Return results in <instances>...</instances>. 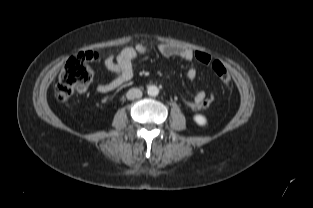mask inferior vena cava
I'll list each match as a JSON object with an SVG mask.
<instances>
[{"mask_svg":"<svg viewBox=\"0 0 313 208\" xmlns=\"http://www.w3.org/2000/svg\"><path fill=\"white\" fill-rule=\"evenodd\" d=\"M127 99L134 100L142 97V91L138 88H132L128 90L126 94Z\"/></svg>","mask_w":313,"mask_h":208,"instance_id":"1","label":"inferior vena cava"}]
</instances>
